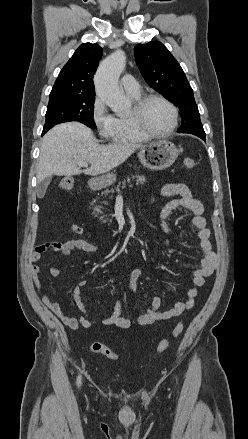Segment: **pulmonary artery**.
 I'll return each mask as SVG.
<instances>
[{"instance_id":"e3ab8cb5","label":"pulmonary artery","mask_w":248,"mask_h":439,"mask_svg":"<svg viewBox=\"0 0 248 439\" xmlns=\"http://www.w3.org/2000/svg\"><path fill=\"white\" fill-rule=\"evenodd\" d=\"M122 88L129 94L137 95L140 93L139 84L134 76L126 74L121 78Z\"/></svg>"}]
</instances>
